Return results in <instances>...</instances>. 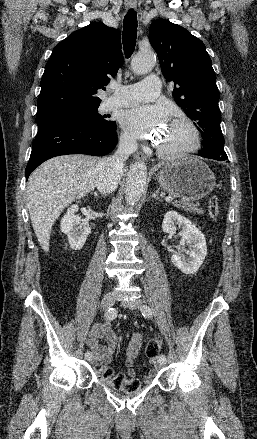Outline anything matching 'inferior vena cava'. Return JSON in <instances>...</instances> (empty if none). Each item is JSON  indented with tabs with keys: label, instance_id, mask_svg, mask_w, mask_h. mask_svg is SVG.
I'll return each mask as SVG.
<instances>
[{
	"label": "inferior vena cava",
	"instance_id": "602c4592",
	"mask_svg": "<svg viewBox=\"0 0 257 439\" xmlns=\"http://www.w3.org/2000/svg\"><path fill=\"white\" fill-rule=\"evenodd\" d=\"M137 150V142L130 137L120 138L116 153L101 162L97 188L101 194L113 192L123 174L124 161Z\"/></svg>",
	"mask_w": 257,
	"mask_h": 439
}]
</instances>
